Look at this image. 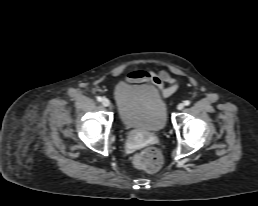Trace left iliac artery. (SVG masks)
Here are the masks:
<instances>
[{
	"mask_svg": "<svg viewBox=\"0 0 258 206\" xmlns=\"http://www.w3.org/2000/svg\"><path fill=\"white\" fill-rule=\"evenodd\" d=\"M184 104H185L186 106H188V105H190V101H189V100H186V101H184Z\"/></svg>",
	"mask_w": 258,
	"mask_h": 206,
	"instance_id": "1",
	"label": "left iliac artery"
}]
</instances>
